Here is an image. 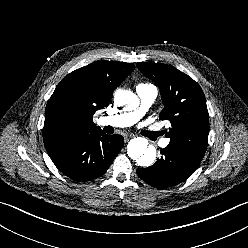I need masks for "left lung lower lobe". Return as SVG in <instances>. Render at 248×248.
<instances>
[{
  "mask_svg": "<svg viewBox=\"0 0 248 248\" xmlns=\"http://www.w3.org/2000/svg\"><path fill=\"white\" fill-rule=\"evenodd\" d=\"M161 158L148 167L137 170L139 177L156 188H168L186 180L198 167L174 149H161Z\"/></svg>",
  "mask_w": 248,
  "mask_h": 248,
  "instance_id": "left-lung-lower-lobe-1",
  "label": "left lung lower lobe"
}]
</instances>
